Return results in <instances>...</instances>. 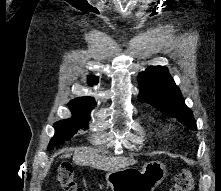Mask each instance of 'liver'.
I'll return each instance as SVG.
<instances>
[{
  "mask_svg": "<svg viewBox=\"0 0 221 191\" xmlns=\"http://www.w3.org/2000/svg\"><path fill=\"white\" fill-rule=\"evenodd\" d=\"M65 154L64 157H68ZM73 162L78 165L92 166L99 170L116 171L136 163V160L126 157H105L99 155L97 150L90 147L76 148L73 154Z\"/></svg>",
  "mask_w": 221,
  "mask_h": 191,
  "instance_id": "6515ba94",
  "label": "liver"
}]
</instances>
